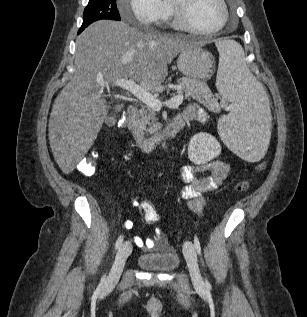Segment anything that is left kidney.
<instances>
[{
	"instance_id": "obj_1",
	"label": "left kidney",
	"mask_w": 307,
	"mask_h": 317,
	"mask_svg": "<svg viewBox=\"0 0 307 317\" xmlns=\"http://www.w3.org/2000/svg\"><path fill=\"white\" fill-rule=\"evenodd\" d=\"M220 153V143L208 133L200 132L190 139L188 157L194 164H205L218 157Z\"/></svg>"
}]
</instances>
